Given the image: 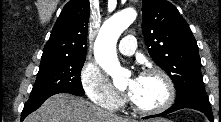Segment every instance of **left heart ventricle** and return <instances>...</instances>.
<instances>
[{"label":"left heart ventricle","instance_id":"left-heart-ventricle-1","mask_svg":"<svg viewBox=\"0 0 221 122\" xmlns=\"http://www.w3.org/2000/svg\"><path fill=\"white\" fill-rule=\"evenodd\" d=\"M126 89L131 99L143 108L157 107L166 97L165 85L156 75L139 76L137 80L129 79Z\"/></svg>","mask_w":221,"mask_h":122}]
</instances>
